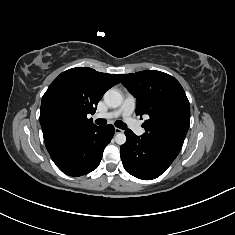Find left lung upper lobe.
<instances>
[{"label":"left lung upper lobe","mask_w":235,"mask_h":235,"mask_svg":"<svg viewBox=\"0 0 235 235\" xmlns=\"http://www.w3.org/2000/svg\"><path fill=\"white\" fill-rule=\"evenodd\" d=\"M119 78L137 98L136 114L150 117L143 124V136L181 150L189 128L190 104L180 83L155 70L119 74Z\"/></svg>","instance_id":"left-lung-upper-lobe-1"}]
</instances>
